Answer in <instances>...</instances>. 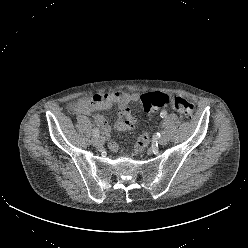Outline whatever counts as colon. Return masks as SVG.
Masks as SVG:
<instances>
[{
  "instance_id": "5ec220e1",
  "label": "colon",
  "mask_w": 248,
  "mask_h": 248,
  "mask_svg": "<svg viewBox=\"0 0 248 248\" xmlns=\"http://www.w3.org/2000/svg\"><path fill=\"white\" fill-rule=\"evenodd\" d=\"M142 107L145 113L160 107H170L179 112L185 119H191L194 114V106L183 97L171 96L162 93H148L141 97ZM149 134L143 132L135 143V153H142L149 144Z\"/></svg>"
}]
</instances>
